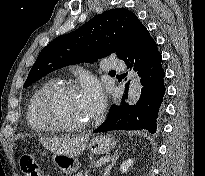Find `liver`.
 Masks as SVG:
<instances>
[{
    "instance_id": "obj_1",
    "label": "liver",
    "mask_w": 205,
    "mask_h": 176,
    "mask_svg": "<svg viewBox=\"0 0 205 176\" xmlns=\"http://www.w3.org/2000/svg\"><path fill=\"white\" fill-rule=\"evenodd\" d=\"M89 135H81L76 138H41L40 142L54 153H62L68 156H77L83 152L88 142Z\"/></svg>"
}]
</instances>
